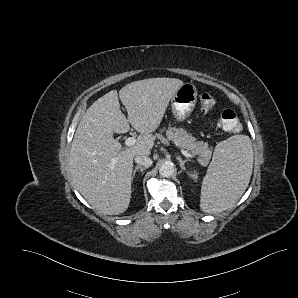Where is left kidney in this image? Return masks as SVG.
Returning a JSON list of instances; mask_svg holds the SVG:
<instances>
[{"label": "left kidney", "instance_id": "obj_1", "mask_svg": "<svg viewBox=\"0 0 298 298\" xmlns=\"http://www.w3.org/2000/svg\"><path fill=\"white\" fill-rule=\"evenodd\" d=\"M188 176L192 178L194 181H197L198 179V174L195 172H192V173L188 172Z\"/></svg>", "mask_w": 298, "mask_h": 298}]
</instances>
